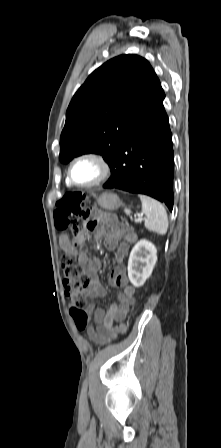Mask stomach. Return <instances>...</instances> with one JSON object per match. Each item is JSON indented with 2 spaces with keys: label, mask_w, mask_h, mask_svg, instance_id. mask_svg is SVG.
Returning <instances> with one entry per match:
<instances>
[{
  "label": "stomach",
  "mask_w": 221,
  "mask_h": 448,
  "mask_svg": "<svg viewBox=\"0 0 221 448\" xmlns=\"http://www.w3.org/2000/svg\"><path fill=\"white\" fill-rule=\"evenodd\" d=\"M99 206L105 210H116L122 206V202L119 197L111 192H105L97 199Z\"/></svg>",
  "instance_id": "1"
}]
</instances>
